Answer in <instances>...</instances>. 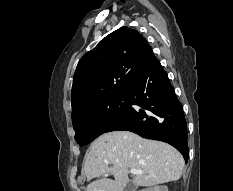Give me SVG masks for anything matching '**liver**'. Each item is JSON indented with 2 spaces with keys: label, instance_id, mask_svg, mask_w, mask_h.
<instances>
[{
  "label": "liver",
  "instance_id": "6515ba94",
  "mask_svg": "<svg viewBox=\"0 0 233 191\" xmlns=\"http://www.w3.org/2000/svg\"><path fill=\"white\" fill-rule=\"evenodd\" d=\"M183 156L164 142L148 140L129 131H112L99 136L85 156L86 191H123L129 182V169L136 186L150 187L179 180L184 168ZM111 174L114 180L102 177Z\"/></svg>",
  "mask_w": 233,
  "mask_h": 191
}]
</instances>
